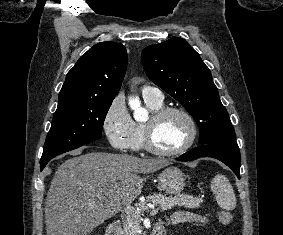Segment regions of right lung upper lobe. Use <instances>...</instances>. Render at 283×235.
Returning a JSON list of instances; mask_svg holds the SVG:
<instances>
[{
  "label": "right lung upper lobe",
  "mask_w": 283,
  "mask_h": 235,
  "mask_svg": "<svg viewBox=\"0 0 283 235\" xmlns=\"http://www.w3.org/2000/svg\"><path fill=\"white\" fill-rule=\"evenodd\" d=\"M127 67V52L115 42H100L67 73L59 102L70 99L113 100Z\"/></svg>",
  "instance_id": "obj_1"
}]
</instances>
